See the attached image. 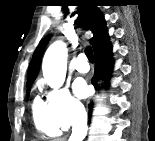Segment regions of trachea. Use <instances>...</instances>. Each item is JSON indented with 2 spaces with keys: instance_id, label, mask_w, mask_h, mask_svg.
<instances>
[{
  "instance_id": "3493384b",
  "label": "trachea",
  "mask_w": 155,
  "mask_h": 141,
  "mask_svg": "<svg viewBox=\"0 0 155 141\" xmlns=\"http://www.w3.org/2000/svg\"><path fill=\"white\" fill-rule=\"evenodd\" d=\"M85 54L88 58V60L90 62H94V56H93V51H92V47L91 46H88L86 49H85Z\"/></svg>"
}]
</instances>
